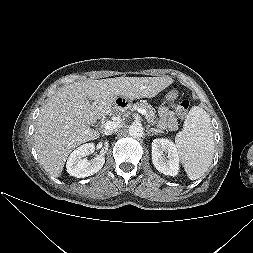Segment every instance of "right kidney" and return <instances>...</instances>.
I'll list each match as a JSON object with an SVG mask.
<instances>
[{"instance_id": "right-kidney-1", "label": "right kidney", "mask_w": 253, "mask_h": 253, "mask_svg": "<svg viewBox=\"0 0 253 253\" xmlns=\"http://www.w3.org/2000/svg\"><path fill=\"white\" fill-rule=\"evenodd\" d=\"M95 151L93 143H86L75 149L69 156L66 164L67 172L71 176L84 178L97 173L105 163V157L96 156L88 161L85 157Z\"/></svg>"}]
</instances>
